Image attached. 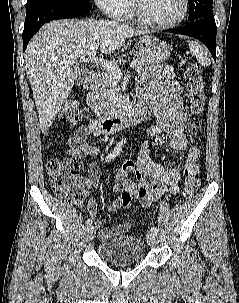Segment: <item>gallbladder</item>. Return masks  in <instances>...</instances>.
Listing matches in <instances>:
<instances>
[{"instance_id":"gallbladder-1","label":"gallbladder","mask_w":239,"mask_h":303,"mask_svg":"<svg viewBox=\"0 0 239 303\" xmlns=\"http://www.w3.org/2000/svg\"><path fill=\"white\" fill-rule=\"evenodd\" d=\"M84 80V76L83 75H79L76 79V84L80 85Z\"/></svg>"}]
</instances>
